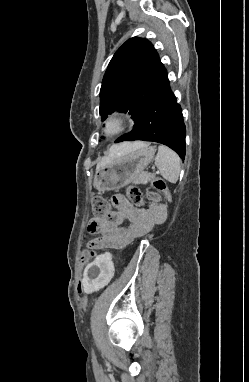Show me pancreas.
Masks as SVG:
<instances>
[{
  "instance_id": "cf45deb5",
  "label": "pancreas",
  "mask_w": 249,
  "mask_h": 382,
  "mask_svg": "<svg viewBox=\"0 0 249 382\" xmlns=\"http://www.w3.org/2000/svg\"><path fill=\"white\" fill-rule=\"evenodd\" d=\"M151 175L150 174H142L138 177H136L134 180H133V184H143V183H146L148 180L151 179Z\"/></svg>"
}]
</instances>
